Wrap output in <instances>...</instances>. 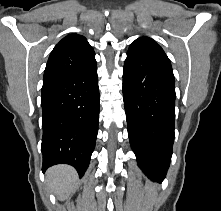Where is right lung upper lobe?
I'll list each match as a JSON object with an SVG mask.
<instances>
[{
  "label": "right lung upper lobe",
  "mask_w": 221,
  "mask_h": 211,
  "mask_svg": "<svg viewBox=\"0 0 221 211\" xmlns=\"http://www.w3.org/2000/svg\"><path fill=\"white\" fill-rule=\"evenodd\" d=\"M96 64L95 53L86 38L70 34L52 50L44 72L43 82L87 69Z\"/></svg>",
  "instance_id": "1"
}]
</instances>
